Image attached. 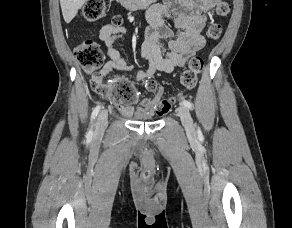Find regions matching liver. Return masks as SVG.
<instances>
[{
	"label": "liver",
	"mask_w": 292,
	"mask_h": 228,
	"mask_svg": "<svg viewBox=\"0 0 292 228\" xmlns=\"http://www.w3.org/2000/svg\"><path fill=\"white\" fill-rule=\"evenodd\" d=\"M88 0H60L63 18L66 23H70L76 16L78 10Z\"/></svg>",
	"instance_id": "obj_1"
}]
</instances>
